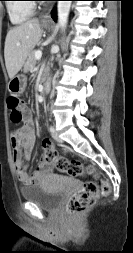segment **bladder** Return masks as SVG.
<instances>
[{
  "label": "bladder",
  "mask_w": 133,
  "mask_h": 253,
  "mask_svg": "<svg viewBox=\"0 0 133 253\" xmlns=\"http://www.w3.org/2000/svg\"><path fill=\"white\" fill-rule=\"evenodd\" d=\"M20 195L23 200L34 203L40 209L48 212L55 211L60 206L63 199L62 192L50 190L39 184L21 187Z\"/></svg>",
  "instance_id": "1"
}]
</instances>
